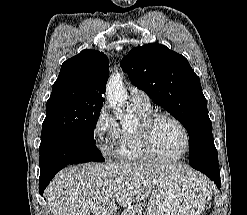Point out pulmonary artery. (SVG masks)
I'll list each match as a JSON object with an SVG mask.
<instances>
[{
  "instance_id": "obj_1",
  "label": "pulmonary artery",
  "mask_w": 247,
  "mask_h": 215,
  "mask_svg": "<svg viewBox=\"0 0 247 215\" xmlns=\"http://www.w3.org/2000/svg\"><path fill=\"white\" fill-rule=\"evenodd\" d=\"M129 101L131 105L138 108L146 109L150 107L148 95L136 87L130 88Z\"/></svg>"
}]
</instances>
